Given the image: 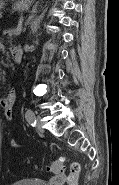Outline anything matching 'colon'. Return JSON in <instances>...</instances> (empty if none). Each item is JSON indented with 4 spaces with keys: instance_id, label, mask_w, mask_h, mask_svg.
<instances>
[{
    "instance_id": "5ec220e1",
    "label": "colon",
    "mask_w": 119,
    "mask_h": 185,
    "mask_svg": "<svg viewBox=\"0 0 119 185\" xmlns=\"http://www.w3.org/2000/svg\"><path fill=\"white\" fill-rule=\"evenodd\" d=\"M65 158L60 157L47 165V170L52 173H61L65 169ZM81 166L79 163L74 162L70 165V172L66 178L67 185H78Z\"/></svg>"
}]
</instances>
